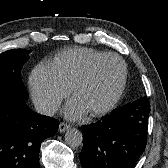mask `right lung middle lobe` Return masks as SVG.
I'll list each match as a JSON object with an SVG mask.
<instances>
[{
	"label": "right lung middle lobe",
	"mask_w": 168,
	"mask_h": 168,
	"mask_svg": "<svg viewBox=\"0 0 168 168\" xmlns=\"http://www.w3.org/2000/svg\"><path fill=\"white\" fill-rule=\"evenodd\" d=\"M30 51L12 49L0 54V95L28 99L21 80V69L29 59Z\"/></svg>",
	"instance_id": "1"
}]
</instances>
